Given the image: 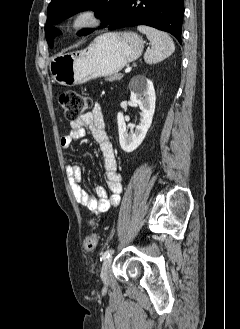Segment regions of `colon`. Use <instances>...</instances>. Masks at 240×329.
<instances>
[{
  "instance_id": "1",
  "label": "colon",
  "mask_w": 240,
  "mask_h": 329,
  "mask_svg": "<svg viewBox=\"0 0 240 329\" xmlns=\"http://www.w3.org/2000/svg\"><path fill=\"white\" fill-rule=\"evenodd\" d=\"M60 107L63 109L64 116L68 120H75L80 113L89 108L91 99L89 96L75 91H64L58 99ZM94 225L91 224V227ZM98 238L94 232L88 234L84 239L85 249L93 251L97 248Z\"/></svg>"
}]
</instances>
